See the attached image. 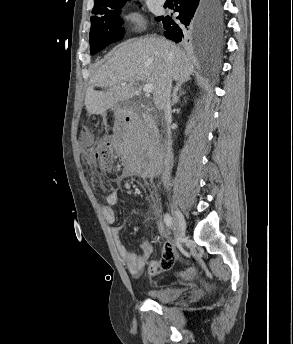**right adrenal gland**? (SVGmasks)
<instances>
[{
  "label": "right adrenal gland",
  "mask_w": 293,
  "mask_h": 344,
  "mask_svg": "<svg viewBox=\"0 0 293 344\" xmlns=\"http://www.w3.org/2000/svg\"><path fill=\"white\" fill-rule=\"evenodd\" d=\"M184 83L185 82H178L176 86L174 87L173 95H172V105H175L179 101L180 96L185 94V92L181 90V87ZM178 92H179V95H178Z\"/></svg>",
  "instance_id": "2a0ac1e0"
}]
</instances>
